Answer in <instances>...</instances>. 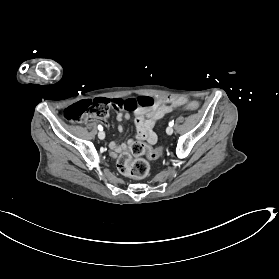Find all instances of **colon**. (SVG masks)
I'll list each match as a JSON object with an SVG mask.
<instances>
[{
	"instance_id": "obj_1",
	"label": "colon",
	"mask_w": 279,
	"mask_h": 279,
	"mask_svg": "<svg viewBox=\"0 0 279 279\" xmlns=\"http://www.w3.org/2000/svg\"><path fill=\"white\" fill-rule=\"evenodd\" d=\"M155 103L156 100L150 96H139L125 100L96 98L84 100L67 107L63 116L67 121L77 123L91 117L105 119L111 108L135 111L140 108H153ZM199 107L200 105L196 101H190L184 105L185 109L192 111L198 110ZM162 153L163 149L161 147H148L142 142L135 141L131 143L127 152L120 155L118 167L128 177L143 179L149 174L150 165L142 156L146 154L150 159H157Z\"/></svg>"
}]
</instances>
